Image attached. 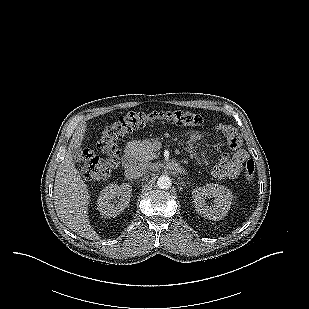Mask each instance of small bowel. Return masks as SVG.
Returning a JSON list of instances; mask_svg holds the SVG:
<instances>
[{"label":"small bowel","instance_id":"obj_1","mask_svg":"<svg viewBox=\"0 0 309 309\" xmlns=\"http://www.w3.org/2000/svg\"><path fill=\"white\" fill-rule=\"evenodd\" d=\"M216 130L226 138L230 147H232L235 151L232 155L226 153L222 154L218 163L214 166L212 173L217 178H237L240 175L243 165L247 161L249 155L246 150L240 148L241 141L237 131L233 127L220 124L217 126ZM199 138V133H193L191 135L192 141H197ZM234 139H237V142H235Z\"/></svg>","mask_w":309,"mask_h":309}]
</instances>
